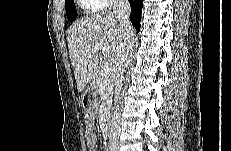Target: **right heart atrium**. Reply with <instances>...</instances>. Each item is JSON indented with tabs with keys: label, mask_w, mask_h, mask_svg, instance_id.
I'll return each mask as SVG.
<instances>
[{
	"label": "right heart atrium",
	"mask_w": 231,
	"mask_h": 151,
	"mask_svg": "<svg viewBox=\"0 0 231 151\" xmlns=\"http://www.w3.org/2000/svg\"><path fill=\"white\" fill-rule=\"evenodd\" d=\"M85 3H91L94 4L96 9H109V8H114L118 6L121 1L119 0H87Z\"/></svg>",
	"instance_id": "obj_1"
}]
</instances>
